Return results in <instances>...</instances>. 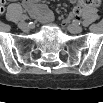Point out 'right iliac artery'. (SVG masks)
I'll use <instances>...</instances> for the list:
<instances>
[{"mask_svg":"<svg viewBox=\"0 0 103 103\" xmlns=\"http://www.w3.org/2000/svg\"><path fill=\"white\" fill-rule=\"evenodd\" d=\"M26 19H28V16H27V15H22L21 18H20V20H22V21H24V20H26Z\"/></svg>","mask_w":103,"mask_h":103,"instance_id":"obj_1","label":"right iliac artery"}]
</instances>
